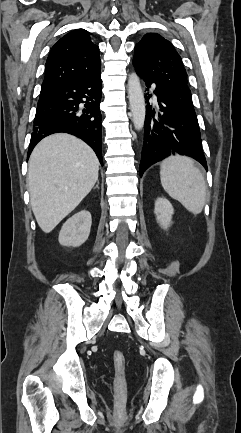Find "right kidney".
<instances>
[{"label":"right kidney","instance_id":"right-kidney-1","mask_svg":"<svg viewBox=\"0 0 241 433\" xmlns=\"http://www.w3.org/2000/svg\"><path fill=\"white\" fill-rule=\"evenodd\" d=\"M92 224L91 214L81 210L69 218L59 233V243L62 246H81L89 237Z\"/></svg>","mask_w":241,"mask_h":433}]
</instances>
